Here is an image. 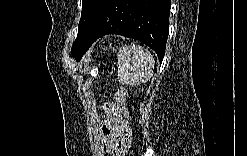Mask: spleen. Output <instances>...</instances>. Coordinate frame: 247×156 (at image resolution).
<instances>
[{"mask_svg":"<svg viewBox=\"0 0 247 156\" xmlns=\"http://www.w3.org/2000/svg\"><path fill=\"white\" fill-rule=\"evenodd\" d=\"M155 60L147 49L140 45H125L118 52V80L125 85H139L153 75Z\"/></svg>","mask_w":247,"mask_h":156,"instance_id":"obj_1","label":"spleen"}]
</instances>
